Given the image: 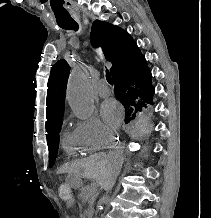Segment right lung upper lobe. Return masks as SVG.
Masks as SVG:
<instances>
[{"mask_svg": "<svg viewBox=\"0 0 211 218\" xmlns=\"http://www.w3.org/2000/svg\"><path fill=\"white\" fill-rule=\"evenodd\" d=\"M91 41L100 47L105 59L116 67L134 59L140 50L132 37L121 28L96 20L92 25ZM70 67L65 60H59L51 69L46 100V131L49 134L58 120L63 118L66 84ZM47 134V135H48Z\"/></svg>", "mask_w": 211, "mask_h": 218, "instance_id": "1", "label": "right lung upper lobe"}]
</instances>
